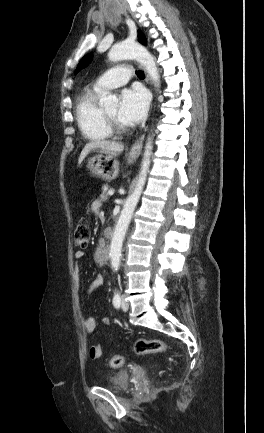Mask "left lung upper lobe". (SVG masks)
Segmentation results:
<instances>
[{"mask_svg":"<svg viewBox=\"0 0 264 433\" xmlns=\"http://www.w3.org/2000/svg\"><path fill=\"white\" fill-rule=\"evenodd\" d=\"M138 38H139V41H140V42H142V43L145 42V38H144L143 33L139 32V34H138ZM91 59H92V55H91V54L84 56V57L82 58V60L80 61V63L78 64V67H77V69H76V73L79 72V71H80L83 67H85L88 63H90Z\"/></svg>","mask_w":264,"mask_h":433,"instance_id":"5c2ea615","label":"left lung upper lobe"}]
</instances>
